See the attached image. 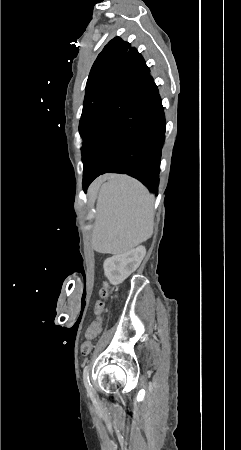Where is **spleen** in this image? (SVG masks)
Instances as JSON below:
<instances>
[{"label":"spleen","instance_id":"spleen-1","mask_svg":"<svg viewBox=\"0 0 241 450\" xmlns=\"http://www.w3.org/2000/svg\"><path fill=\"white\" fill-rule=\"evenodd\" d=\"M154 196L130 176L113 174L98 196L91 247L95 253L121 256L153 234Z\"/></svg>","mask_w":241,"mask_h":450}]
</instances>
